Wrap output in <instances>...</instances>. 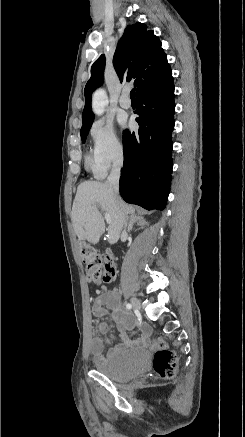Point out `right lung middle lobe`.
I'll return each mask as SVG.
<instances>
[{"instance_id":"1","label":"right lung middle lobe","mask_w":245,"mask_h":437,"mask_svg":"<svg viewBox=\"0 0 245 437\" xmlns=\"http://www.w3.org/2000/svg\"><path fill=\"white\" fill-rule=\"evenodd\" d=\"M91 125H92V123H90L88 125H85L80 130L81 139H82L83 142L86 141V137H87V134H88V131H89Z\"/></svg>"}]
</instances>
